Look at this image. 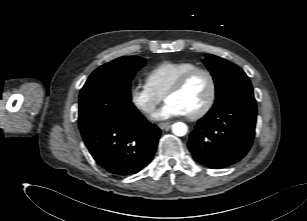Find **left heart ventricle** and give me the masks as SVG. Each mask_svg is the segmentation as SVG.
I'll return each mask as SVG.
<instances>
[{"label": "left heart ventricle", "mask_w": 307, "mask_h": 221, "mask_svg": "<svg viewBox=\"0 0 307 221\" xmlns=\"http://www.w3.org/2000/svg\"><path fill=\"white\" fill-rule=\"evenodd\" d=\"M210 95V82L206 75L196 74L186 86L176 94L167 97V102L177 103L186 115L200 110Z\"/></svg>", "instance_id": "b2bd125f"}]
</instances>
